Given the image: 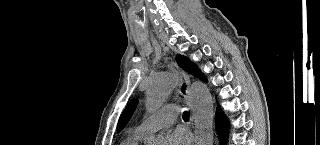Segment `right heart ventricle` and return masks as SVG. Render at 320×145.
I'll use <instances>...</instances> for the list:
<instances>
[{
    "instance_id": "e07e8e85",
    "label": "right heart ventricle",
    "mask_w": 320,
    "mask_h": 145,
    "mask_svg": "<svg viewBox=\"0 0 320 145\" xmlns=\"http://www.w3.org/2000/svg\"><path fill=\"white\" fill-rule=\"evenodd\" d=\"M145 137V135L135 130L126 137V139L122 142V145H140Z\"/></svg>"
}]
</instances>
